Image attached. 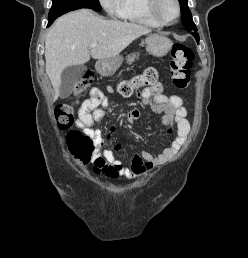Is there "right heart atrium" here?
Segmentation results:
<instances>
[{
    "label": "right heart atrium",
    "instance_id": "1",
    "mask_svg": "<svg viewBox=\"0 0 248 258\" xmlns=\"http://www.w3.org/2000/svg\"><path fill=\"white\" fill-rule=\"evenodd\" d=\"M124 0H99V3L111 17H120Z\"/></svg>",
    "mask_w": 248,
    "mask_h": 258
}]
</instances>
